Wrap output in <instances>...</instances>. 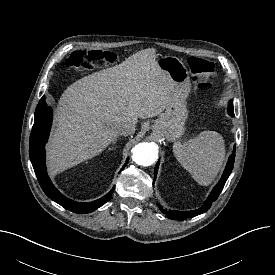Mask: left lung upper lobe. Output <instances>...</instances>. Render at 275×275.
Here are the masks:
<instances>
[{
	"instance_id": "5c2ea615",
	"label": "left lung upper lobe",
	"mask_w": 275,
	"mask_h": 275,
	"mask_svg": "<svg viewBox=\"0 0 275 275\" xmlns=\"http://www.w3.org/2000/svg\"><path fill=\"white\" fill-rule=\"evenodd\" d=\"M228 113L231 116H234V111H233V100H230L228 102Z\"/></svg>"
}]
</instances>
